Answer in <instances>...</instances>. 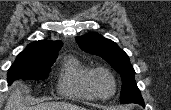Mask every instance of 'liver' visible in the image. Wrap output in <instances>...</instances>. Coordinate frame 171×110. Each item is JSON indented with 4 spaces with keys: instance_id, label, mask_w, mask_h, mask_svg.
<instances>
[{
    "instance_id": "1",
    "label": "liver",
    "mask_w": 171,
    "mask_h": 110,
    "mask_svg": "<svg viewBox=\"0 0 171 110\" xmlns=\"http://www.w3.org/2000/svg\"><path fill=\"white\" fill-rule=\"evenodd\" d=\"M14 88L5 106V110H85L82 107L65 102H46L34 107H28L23 104L22 87L20 84H14Z\"/></svg>"
}]
</instances>
